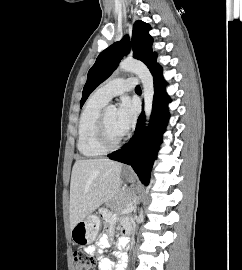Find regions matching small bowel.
Instances as JSON below:
<instances>
[{
  "label": "small bowel",
  "instance_id": "1",
  "mask_svg": "<svg viewBox=\"0 0 242 270\" xmlns=\"http://www.w3.org/2000/svg\"><path fill=\"white\" fill-rule=\"evenodd\" d=\"M105 221L107 223L106 232L99 238L95 245L89 246L86 249V252L90 255H95L99 260V270H125V255L121 252H116L113 256L118 260V263L115 264L111 258L103 257L102 250L109 247L112 244V231L114 228L117 219L112 214L105 215ZM131 223L128 219L121 220V232L124 235L130 233ZM128 244V240L123 238L118 241V246L120 248H125Z\"/></svg>",
  "mask_w": 242,
  "mask_h": 270
}]
</instances>
